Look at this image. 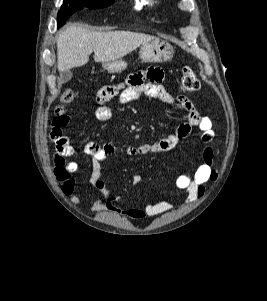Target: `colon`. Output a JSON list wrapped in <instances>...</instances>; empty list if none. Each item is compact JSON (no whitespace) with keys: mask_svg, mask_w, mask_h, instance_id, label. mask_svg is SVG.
<instances>
[{"mask_svg":"<svg viewBox=\"0 0 267 301\" xmlns=\"http://www.w3.org/2000/svg\"><path fill=\"white\" fill-rule=\"evenodd\" d=\"M200 87V82L195 72L190 67H185L182 70L180 88L183 92H193ZM74 91L66 89L61 94L63 103H70L74 99Z\"/></svg>","mask_w":267,"mask_h":301,"instance_id":"5ec220e1","label":"colon"}]
</instances>
